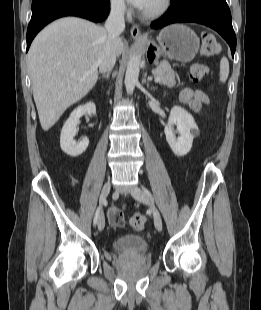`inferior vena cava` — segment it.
Returning a JSON list of instances; mask_svg holds the SVG:
<instances>
[{"label":"inferior vena cava","mask_w":261,"mask_h":310,"mask_svg":"<svg viewBox=\"0 0 261 310\" xmlns=\"http://www.w3.org/2000/svg\"><path fill=\"white\" fill-rule=\"evenodd\" d=\"M124 12L125 5L123 2H116L111 5L110 14L105 23L107 41L99 58V71L101 73H109L115 65L116 52L114 43L125 29Z\"/></svg>","instance_id":"inferior-vena-cava-1"}]
</instances>
